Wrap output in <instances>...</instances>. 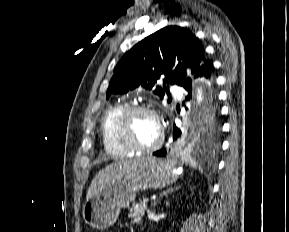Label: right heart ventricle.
<instances>
[{
    "label": "right heart ventricle",
    "mask_w": 289,
    "mask_h": 232,
    "mask_svg": "<svg viewBox=\"0 0 289 232\" xmlns=\"http://www.w3.org/2000/svg\"><path fill=\"white\" fill-rule=\"evenodd\" d=\"M125 108L122 104H114L105 111L100 125V133L102 137L105 152L113 157H126L131 154L129 150L124 148L115 136V123L120 112Z\"/></svg>",
    "instance_id": "right-heart-ventricle-1"
}]
</instances>
